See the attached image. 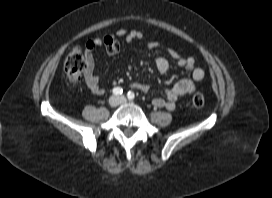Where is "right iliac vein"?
<instances>
[{
	"mask_svg": "<svg viewBox=\"0 0 272 198\" xmlns=\"http://www.w3.org/2000/svg\"><path fill=\"white\" fill-rule=\"evenodd\" d=\"M120 100L117 96H111L109 98V105L112 107H115L119 104Z\"/></svg>",
	"mask_w": 272,
	"mask_h": 198,
	"instance_id": "63e3f726",
	"label": "right iliac vein"
}]
</instances>
